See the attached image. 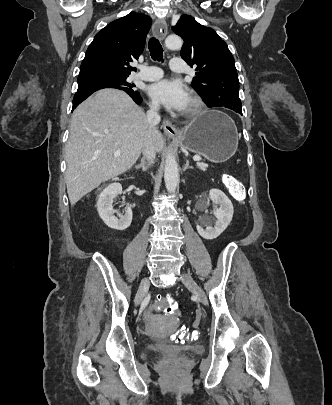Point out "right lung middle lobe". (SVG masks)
<instances>
[{"label": "right lung middle lobe", "mask_w": 332, "mask_h": 405, "mask_svg": "<svg viewBox=\"0 0 332 405\" xmlns=\"http://www.w3.org/2000/svg\"><path fill=\"white\" fill-rule=\"evenodd\" d=\"M129 75L117 73H92L79 75L78 77V90H83L94 86H111L121 88L131 92H138L134 90V84L127 82Z\"/></svg>", "instance_id": "obj_1"}]
</instances>
